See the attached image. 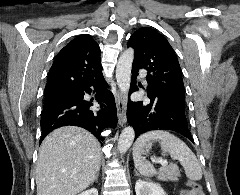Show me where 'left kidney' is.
Returning <instances> with one entry per match:
<instances>
[{
    "label": "left kidney",
    "mask_w": 240,
    "mask_h": 195,
    "mask_svg": "<svg viewBox=\"0 0 240 195\" xmlns=\"http://www.w3.org/2000/svg\"><path fill=\"white\" fill-rule=\"evenodd\" d=\"M136 195H167L163 187L154 181H144V179H137L135 183Z\"/></svg>",
    "instance_id": "left-kidney-1"
}]
</instances>
